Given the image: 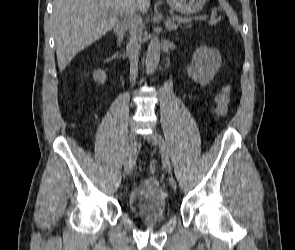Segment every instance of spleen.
I'll return each instance as SVG.
<instances>
[{
	"label": "spleen",
	"mask_w": 295,
	"mask_h": 250,
	"mask_svg": "<svg viewBox=\"0 0 295 250\" xmlns=\"http://www.w3.org/2000/svg\"><path fill=\"white\" fill-rule=\"evenodd\" d=\"M219 4H220L221 8L226 12V14L229 18L230 24L235 28V30H237L238 29V19H237L235 12L233 11L231 6L229 5V3L226 0H219Z\"/></svg>",
	"instance_id": "1"
}]
</instances>
